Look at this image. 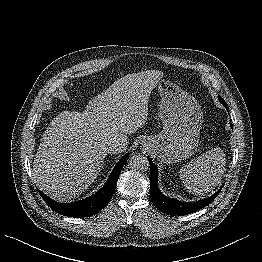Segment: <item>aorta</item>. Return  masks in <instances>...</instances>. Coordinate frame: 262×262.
<instances>
[{
    "label": "aorta",
    "mask_w": 262,
    "mask_h": 262,
    "mask_svg": "<svg viewBox=\"0 0 262 262\" xmlns=\"http://www.w3.org/2000/svg\"><path fill=\"white\" fill-rule=\"evenodd\" d=\"M130 167L135 171H147L149 169L148 159L142 155H134L129 160Z\"/></svg>",
    "instance_id": "762f6f07"
}]
</instances>
